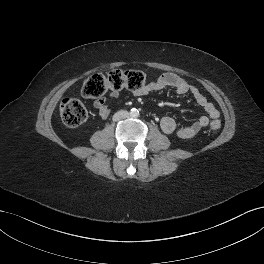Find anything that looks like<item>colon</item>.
<instances>
[{
  "instance_id": "colon-1",
  "label": "colon",
  "mask_w": 264,
  "mask_h": 264,
  "mask_svg": "<svg viewBox=\"0 0 264 264\" xmlns=\"http://www.w3.org/2000/svg\"><path fill=\"white\" fill-rule=\"evenodd\" d=\"M147 78L144 73L136 70H111L105 74L97 73L87 77L82 85L81 94L84 98H98L107 92L118 93L123 89L137 91L146 86ZM62 121L71 127L82 124L87 118V110L83 103L76 98H65L60 104ZM220 121L213 120L209 130L216 132Z\"/></svg>"
}]
</instances>
